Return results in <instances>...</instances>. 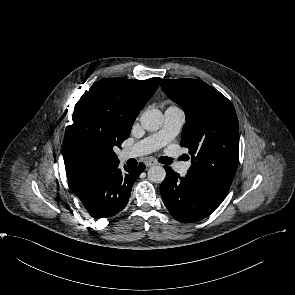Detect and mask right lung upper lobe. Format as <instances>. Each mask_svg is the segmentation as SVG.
Masks as SVG:
<instances>
[{"label": "right lung upper lobe", "instance_id": "1", "mask_svg": "<svg viewBox=\"0 0 295 295\" xmlns=\"http://www.w3.org/2000/svg\"><path fill=\"white\" fill-rule=\"evenodd\" d=\"M159 82L160 78L157 77L147 80L125 79V87L135 105L142 109L155 93ZM63 158L71 190L93 169L118 162L117 156L111 157L86 144L69 129L63 142Z\"/></svg>", "mask_w": 295, "mask_h": 295}]
</instances>
